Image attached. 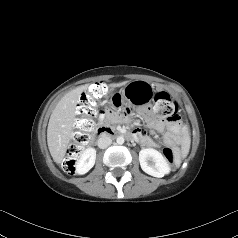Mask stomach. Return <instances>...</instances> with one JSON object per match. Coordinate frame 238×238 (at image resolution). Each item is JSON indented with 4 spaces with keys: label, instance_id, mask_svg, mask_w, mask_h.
Returning a JSON list of instances; mask_svg holds the SVG:
<instances>
[{
    "label": "stomach",
    "instance_id": "obj_1",
    "mask_svg": "<svg viewBox=\"0 0 238 238\" xmlns=\"http://www.w3.org/2000/svg\"><path fill=\"white\" fill-rule=\"evenodd\" d=\"M153 86L143 80H134L125 85L123 90L117 91L112 95V104L121 108L129 102L133 104L149 103L154 95Z\"/></svg>",
    "mask_w": 238,
    "mask_h": 238
}]
</instances>
